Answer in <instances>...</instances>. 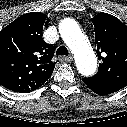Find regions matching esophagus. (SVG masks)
Wrapping results in <instances>:
<instances>
[{
  "mask_svg": "<svg viewBox=\"0 0 127 127\" xmlns=\"http://www.w3.org/2000/svg\"><path fill=\"white\" fill-rule=\"evenodd\" d=\"M58 59H59V61H61V62H70V61L73 60L72 57H65V56H60Z\"/></svg>",
  "mask_w": 127,
  "mask_h": 127,
  "instance_id": "obj_1",
  "label": "esophagus"
}]
</instances>
